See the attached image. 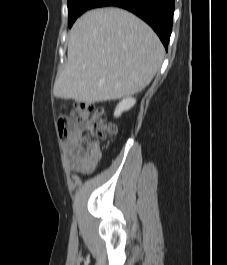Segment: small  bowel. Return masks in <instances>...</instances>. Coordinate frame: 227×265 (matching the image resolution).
I'll list each match as a JSON object with an SVG mask.
<instances>
[{"mask_svg":"<svg viewBox=\"0 0 227 265\" xmlns=\"http://www.w3.org/2000/svg\"><path fill=\"white\" fill-rule=\"evenodd\" d=\"M86 131H88L87 126H74L65 140L70 168L79 170L83 175H88L94 170L100 156L98 145L93 148H85L83 146L82 138Z\"/></svg>","mask_w":227,"mask_h":265,"instance_id":"c3829d8e","label":"small bowel"}]
</instances>
